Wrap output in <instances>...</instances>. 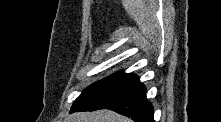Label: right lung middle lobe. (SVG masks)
I'll return each instance as SVG.
<instances>
[{
	"instance_id": "dd1d6c3e",
	"label": "right lung middle lobe",
	"mask_w": 221,
	"mask_h": 122,
	"mask_svg": "<svg viewBox=\"0 0 221 122\" xmlns=\"http://www.w3.org/2000/svg\"><path fill=\"white\" fill-rule=\"evenodd\" d=\"M128 75L129 74L125 73H114L105 79L95 82L94 84L89 86L84 92H82V94L76 99L74 103L82 102L107 90L108 88L123 80Z\"/></svg>"
}]
</instances>
